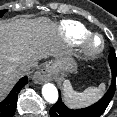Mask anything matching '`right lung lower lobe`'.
<instances>
[{"label":"right lung lower lobe","mask_w":117,"mask_h":117,"mask_svg":"<svg viewBox=\"0 0 117 117\" xmlns=\"http://www.w3.org/2000/svg\"><path fill=\"white\" fill-rule=\"evenodd\" d=\"M27 83V76L21 78L9 95L0 102V117H12L14 115L17 106L18 93Z\"/></svg>","instance_id":"right-lung-lower-lobe-1"}]
</instances>
